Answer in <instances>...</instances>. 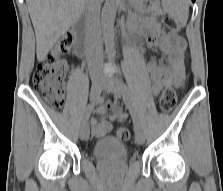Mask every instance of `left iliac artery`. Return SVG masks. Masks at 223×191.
I'll return each instance as SVG.
<instances>
[{"instance_id": "obj_1", "label": "left iliac artery", "mask_w": 223, "mask_h": 191, "mask_svg": "<svg viewBox=\"0 0 223 191\" xmlns=\"http://www.w3.org/2000/svg\"><path fill=\"white\" fill-rule=\"evenodd\" d=\"M126 95H128L127 105H128V108H129V111H130V114H131V117H132V120L134 123V127H135V129H138L141 127V124H140V121H139V118H138V115L136 112L134 101L132 99V96L127 91V88H126Z\"/></svg>"}]
</instances>
